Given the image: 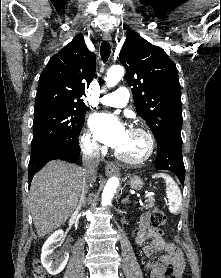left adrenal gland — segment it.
Returning a JSON list of instances; mask_svg holds the SVG:
<instances>
[{
	"label": "left adrenal gland",
	"instance_id": "1",
	"mask_svg": "<svg viewBox=\"0 0 221 278\" xmlns=\"http://www.w3.org/2000/svg\"><path fill=\"white\" fill-rule=\"evenodd\" d=\"M122 203H129V195L122 200Z\"/></svg>",
	"mask_w": 221,
	"mask_h": 278
}]
</instances>
